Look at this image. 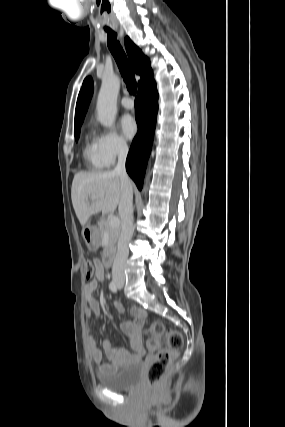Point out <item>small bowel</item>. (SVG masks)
<instances>
[{
  "label": "small bowel",
  "instance_id": "small-bowel-1",
  "mask_svg": "<svg viewBox=\"0 0 285 427\" xmlns=\"http://www.w3.org/2000/svg\"><path fill=\"white\" fill-rule=\"evenodd\" d=\"M95 277L91 279L84 287V295L88 304L86 312L87 320H90L92 315L99 318L101 316L99 301L93 296L99 282H102L105 277V267L99 260H95ZM113 307L118 313L124 312V306L118 301L113 302ZM133 319L121 324L122 332L129 338L132 352L116 346L113 341L107 339L103 342V348L110 363H104L103 354L98 347L91 333L88 335V347L90 356L93 362L97 365L101 372H113L118 368L139 360L144 350L142 347L141 327L147 316L146 311L138 306L131 307L130 310Z\"/></svg>",
  "mask_w": 285,
  "mask_h": 427
}]
</instances>
